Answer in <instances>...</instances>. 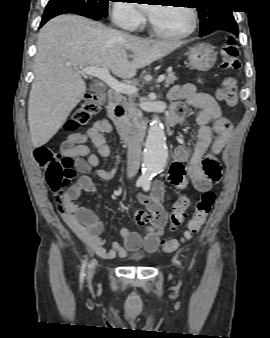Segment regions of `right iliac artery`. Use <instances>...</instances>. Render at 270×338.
<instances>
[{"label":"right iliac artery","mask_w":270,"mask_h":338,"mask_svg":"<svg viewBox=\"0 0 270 338\" xmlns=\"http://www.w3.org/2000/svg\"><path fill=\"white\" fill-rule=\"evenodd\" d=\"M146 183H142V182H137L136 183V186L137 187H143L144 185H145ZM85 265H86V262L84 261L83 262V264H82V268H81V274H80V281L82 282L83 281V278H84V276H85V274H84V271H85Z\"/></svg>","instance_id":"82829eb1"}]
</instances>
